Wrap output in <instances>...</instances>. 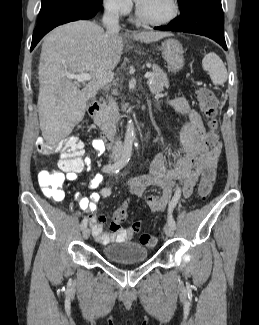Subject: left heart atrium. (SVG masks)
<instances>
[{"label":"left heart atrium","mask_w":259,"mask_h":325,"mask_svg":"<svg viewBox=\"0 0 259 325\" xmlns=\"http://www.w3.org/2000/svg\"><path fill=\"white\" fill-rule=\"evenodd\" d=\"M139 4H142L143 2H145L146 0H136Z\"/></svg>","instance_id":"39dd6f15"}]
</instances>
